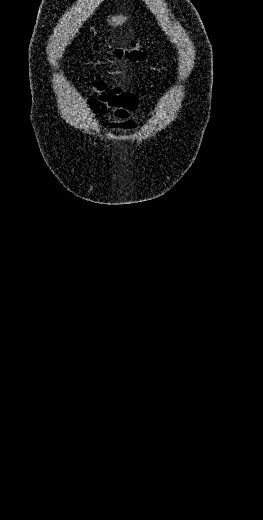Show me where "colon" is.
<instances>
[{"instance_id":"5ec220e1","label":"colon","mask_w":263,"mask_h":520,"mask_svg":"<svg viewBox=\"0 0 263 520\" xmlns=\"http://www.w3.org/2000/svg\"><path fill=\"white\" fill-rule=\"evenodd\" d=\"M112 53L118 58H126L132 61H142L146 58V53L136 43L127 47H118Z\"/></svg>"}]
</instances>
